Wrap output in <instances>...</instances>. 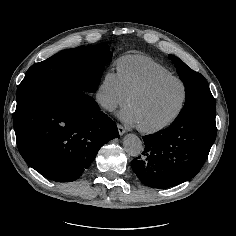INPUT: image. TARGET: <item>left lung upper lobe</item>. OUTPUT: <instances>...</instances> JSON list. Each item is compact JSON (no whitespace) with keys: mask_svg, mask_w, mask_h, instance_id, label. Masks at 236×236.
<instances>
[{"mask_svg":"<svg viewBox=\"0 0 236 236\" xmlns=\"http://www.w3.org/2000/svg\"><path fill=\"white\" fill-rule=\"evenodd\" d=\"M185 86V104L178 116L191 112L215 114V100L205 78L191 70L179 58L169 55Z\"/></svg>","mask_w":236,"mask_h":236,"instance_id":"1","label":"left lung upper lobe"}]
</instances>
